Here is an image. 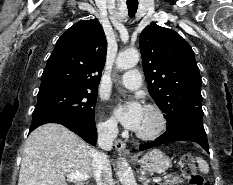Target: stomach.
I'll use <instances>...</instances> for the list:
<instances>
[{
  "mask_svg": "<svg viewBox=\"0 0 233 185\" xmlns=\"http://www.w3.org/2000/svg\"><path fill=\"white\" fill-rule=\"evenodd\" d=\"M141 168L152 173H163L170 167V159L159 149H152L139 160Z\"/></svg>",
  "mask_w": 233,
  "mask_h": 185,
  "instance_id": "1",
  "label": "stomach"
}]
</instances>
